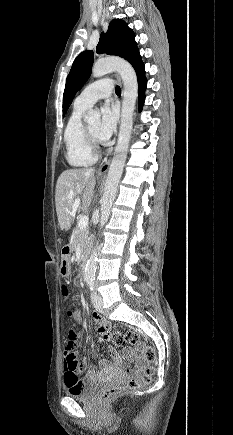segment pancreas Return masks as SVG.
<instances>
[{
  "instance_id": "obj_1",
  "label": "pancreas",
  "mask_w": 233,
  "mask_h": 435,
  "mask_svg": "<svg viewBox=\"0 0 233 435\" xmlns=\"http://www.w3.org/2000/svg\"><path fill=\"white\" fill-rule=\"evenodd\" d=\"M88 229L85 228L81 230L78 226L76 227L72 240H71V248L72 251H76V247L79 244L81 251H82V259L84 258L85 254L87 253V247L89 245V239H88Z\"/></svg>"
}]
</instances>
